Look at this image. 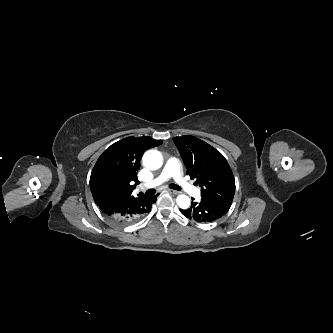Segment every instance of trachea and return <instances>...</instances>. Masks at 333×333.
Wrapping results in <instances>:
<instances>
[{"label":"trachea","mask_w":333,"mask_h":333,"mask_svg":"<svg viewBox=\"0 0 333 333\" xmlns=\"http://www.w3.org/2000/svg\"><path fill=\"white\" fill-rule=\"evenodd\" d=\"M169 188L180 191L181 188L176 184H170ZM156 191L154 189H149L146 191V195H154Z\"/></svg>","instance_id":"3493384b"}]
</instances>
